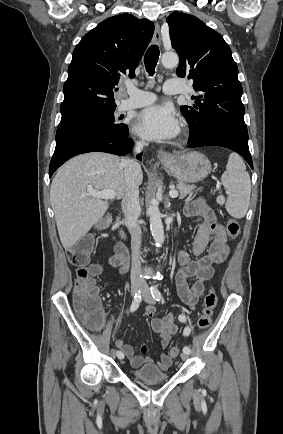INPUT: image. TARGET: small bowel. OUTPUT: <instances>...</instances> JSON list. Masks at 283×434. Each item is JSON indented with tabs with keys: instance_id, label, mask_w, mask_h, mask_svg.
I'll list each match as a JSON object with an SVG mask.
<instances>
[{
	"instance_id": "1",
	"label": "small bowel",
	"mask_w": 283,
	"mask_h": 434,
	"mask_svg": "<svg viewBox=\"0 0 283 434\" xmlns=\"http://www.w3.org/2000/svg\"><path fill=\"white\" fill-rule=\"evenodd\" d=\"M184 213L189 217L197 216L201 218L192 248L193 255L198 259L193 260L190 254L184 250L176 252L177 262L181 266L175 276L177 294L189 308L194 309L204 295L205 282L214 275V265L223 263L227 259L230 249L223 225L218 222L204 198L198 197L189 202L184 209ZM207 248L208 252L204 255ZM106 266L117 267L120 273H126L129 267L126 248L121 244H117L114 255L105 262L91 265V273L98 275L102 273ZM155 312V306H148L145 309L146 316L151 319L152 329L160 335L161 347L166 348L171 337L177 332L178 327L172 314H168L163 318H155ZM114 344L129 359L133 368H139L143 364H153V359L145 356L147 351L145 346L141 347L140 354H135L132 346L124 343L119 337L114 339ZM171 364L172 357L169 354L162 353L156 366L166 371Z\"/></svg>"
}]
</instances>
